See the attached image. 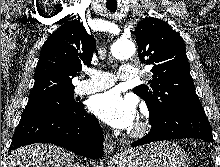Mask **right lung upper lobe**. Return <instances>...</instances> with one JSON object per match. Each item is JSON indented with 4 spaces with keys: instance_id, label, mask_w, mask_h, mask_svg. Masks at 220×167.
I'll return each mask as SVG.
<instances>
[{
    "instance_id": "right-lung-upper-lobe-1",
    "label": "right lung upper lobe",
    "mask_w": 220,
    "mask_h": 167,
    "mask_svg": "<svg viewBox=\"0 0 220 167\" xmlns=\"http://www.w3.org/2000/svg\"><path fill=\"white\" fill-rule=\"evenodd\" d=\"M95 40L73 20L59 27L42 46L29 99L74 89L72 78L91 65Z\"/></svg>"
}]
</instances>
